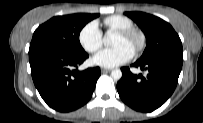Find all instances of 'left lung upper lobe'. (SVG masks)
Returning a JSON list of instances; mask_svg holds the SVG:
<instances>
[{"mask_svg":"<svg viewBox=\"0 0 203 123\" xmlns=\"http://www.w3.org/2000/svg\"><path fill=\"white\" fill-rule=\"evenodd\" d=\"M142 29L147 46L140 59H146L169 51H182V43L172 26L159 17L143 12H126Z\"/></svg>","mask_w":203,"mask_h":123,"instance_id":"left-lung-upper-lobe-1","label":"left lung upper lobe"}]
</instances>
